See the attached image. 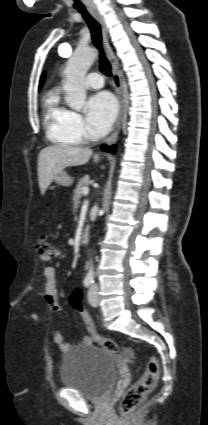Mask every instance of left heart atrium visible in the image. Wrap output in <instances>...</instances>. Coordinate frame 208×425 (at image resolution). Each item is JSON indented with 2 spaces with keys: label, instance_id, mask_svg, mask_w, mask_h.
I'll return each instance as SVG.
<instances>
[{
  "label": "left heart atrium",
  "instance_id": "1",
  "mask_svg": "<svg viewBox=\"0 0 208 425\" xmlns=\"http://www.w3.org/2000/svg\"><path fill=\"white\" fill-rule=\"evenodd\" d=\"M117 115V103L108 92H100L87 102V123L91 132L97 135L106 134Z\"/></svg>",
  "mask_w": 208,
  "mask_h": 425
}]
</instances>
